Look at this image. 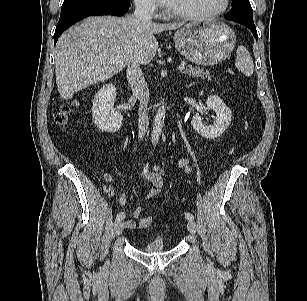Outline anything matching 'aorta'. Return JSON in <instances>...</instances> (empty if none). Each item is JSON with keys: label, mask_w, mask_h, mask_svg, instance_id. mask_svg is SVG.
I'll list each match as a JSON object with an SVG mask.
<instances>
[{"label": "aorta", "mask_w": 307, "mask_h": 301, "mask_svg": "<svg viewBox=\"0 0 307 301\" xmlns=\"http://www.w3.org/2000/svg\"><path fill=\"white\" fill-rule=\"evenodd\" d=\"M165 104L164 102H161L159 104L157 113L154 118L153 122V129H152V134H151V142L153 146H156L159 142L162 129L164 126V121H165Z\"/></svg>", "instance_id": "1"}]
</instances>
